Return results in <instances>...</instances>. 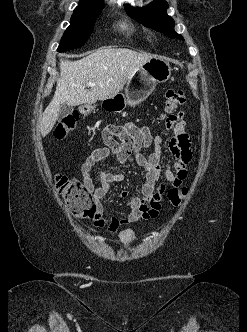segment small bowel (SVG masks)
Returning a JSON list of instances; mask_svg holds the SVG:
<instances>
[{"label":"small bowel","instance_id":"c3829d8e","mask_svg":"<svg viewBox=\"0 0 247 332\" xmlns=\"http://www.w3.org/2000/svg\"><path fill=\"white\" fill-rule=\"evenodd\" d=\"M177 116L174 134L169 141V150L175 157V162L164 172L171 189H178L182 185L187 177V166L192 159L191 139L186 132L183 113L180 112ZM102 136L105 146L93 150L84 161L81 171L84 186L92 194L96 205L94 225L107 227L108 232L113 235L121 226L157 218L162 208L163 197L169 189L167 185L158 184L162 173L160 166L162 138L159 135L154 136L149 127H138L133 122L123 126L110 125L103 130ZM115 137L120 142L116 141ZM149 149L150 153H146ZM109 156L115 157L122 165L135 163L145 171L146 181L141 188L142 195L130 199L131 212L123 218L106 217L102 199L108 193L110 185L122 182L125 174L122 171L100 170L98 172L100 183L95 185L93 180L94 166ZM120 196L125 198L128 193L122 191Z\"/></svg>","mask_w":247,"mask_h":332}]
</instances>
